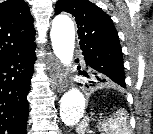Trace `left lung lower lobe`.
<instances>
[{"instance_id": "0a47b994", "label": "left lung lower lobe", "mask_w": 153, "mask_h": 134, "mask_svg": "<svg viewBox=\"0 0 153 134\" xmlns=\"http://www.w3.org/2000/svg\"><path fill=\"white\" fill-rule=\"evenodd\" d=\"M89 73H83L89 80L86 83V87L92 89L101 83H105L104 76L94 69L88 67Z\"/></svg>"}]
</instances>
